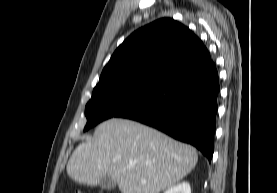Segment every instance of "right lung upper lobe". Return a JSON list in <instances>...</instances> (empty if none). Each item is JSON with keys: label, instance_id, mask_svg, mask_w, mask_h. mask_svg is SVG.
Here are the masks:
<instances>
[{"label": "right lung upper lobe", "instance_id": "obj_1", "mask_svg": "<svg viewBox=\"0 0 277 193\" xmlns=\"http://www.w3.org/2000/svg\"><path fill=\"white\" fill-rule=\"evenodd\" d=\"M210 60L208 50L189 28L162 18L135 31L116 49L94 90L123 86L157 90Z\"/></svg>", "mask_w": 277, "mask_h": 193}]
</instances>
